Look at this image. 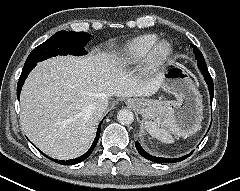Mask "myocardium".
I'll use <instances>...</instances> for the list:
<instances>
[{"instance_id":"1","label":"myocardium","mask_w":240,"mask_h":191,"mask_svg":"<svg viewBox=\"0 0 240 191\" xmlns=\"http://www.w3.org/2000/svg\"><path fill=\"white\" fill-rule=\"evenodd\" d=\"M172 52L173 48L168 40H157L145 56L144 70L150 73L159 70L170 58Z\"/></svg>"}]
</instances>
